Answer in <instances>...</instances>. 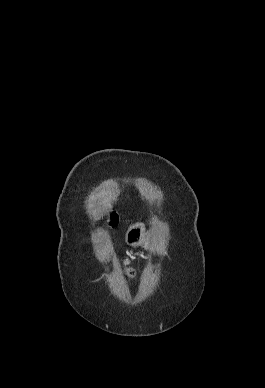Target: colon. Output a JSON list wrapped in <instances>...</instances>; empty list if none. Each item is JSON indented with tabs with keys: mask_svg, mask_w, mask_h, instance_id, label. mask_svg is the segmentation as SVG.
Masks as SVG:
<instances>
[{
	"mask_svg": "<svg viewBox=\"0 0 265 388\" xmlns=\"http://www.w3.org/2000/svg\"><path fill=\"white\" fill-rule=\"evenodd\" d=\"M110 223H111V225H115V223H116V219L113 216L111 217ZM123 266H124L123 270H124L125 275L128 277L133 276L134 270L129 266L127 261L123 262Z\"/></svg>",
	"mask_w": 265,
	"mask_h": 388,
	"instance_id": "colon-1",
	"label": "colon"
}]
</instances>
